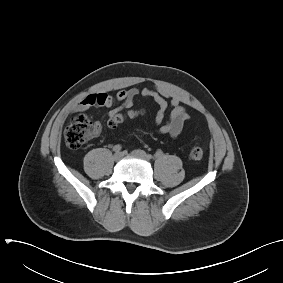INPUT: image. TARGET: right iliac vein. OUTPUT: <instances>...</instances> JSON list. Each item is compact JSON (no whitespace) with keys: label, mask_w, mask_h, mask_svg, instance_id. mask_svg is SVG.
Returning <instances> with one entry per match:
<instances>
[{"label":"right iliac vein","mask_w":283,"mask_h":283,"mask_svg":"<svg viewBox=\"0 0 283 283\" xmlns=\"http://www.w3.org/2000/svg\"><path fill=\"white\" fill-rule=\"evenodd\" d=\"M113 158H114L115 161H119V160H121V159L123 158V153H121V152H116V153L114 154Z\"/></svg>","instance_id":"obj_1"}]
</instances>
